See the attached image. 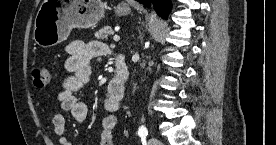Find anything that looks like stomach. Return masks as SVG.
I'll return each mask as SVG.
<instances>
[{
	"mask_svg": "<svg viewBox=\"0 0 276 145\" xmlns=\"http://www.w3.org/2000/svg\"><path fill=\"white\" fill-rule=\"evenodd\" d=\"M131 8L119 5L118 15H127ZM104 4L100 0H44L34 23L33 39L43 48L66 40L72 28H90L104 17Z\"/></svg>",
	"mask_w": 276,
	"mask_h": 145,
	"instance_id": "stomach-1",
	"label": "stomach"
}]
</instances>
